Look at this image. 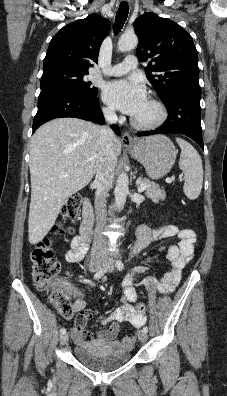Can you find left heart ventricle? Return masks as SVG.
Returning <instances> with one entry per match:
<instances>
[{
    "instance_id": "b2bd125f",
    "label": "left heart ventricle",
    "mask_w": 227,
    "mask_h": 396,
    "mask_svg": "<svg viewBox=\"0 0 227 396\" xmlns=\"http://www.w3.org/2000/svg\"><path fill=\"white\" fill-rule=\"evenodd\" d=\"M157 109L147 101L144 107L137 113L134 118L141 122H149L157 117Z\"/></svg>"
}]
</instances>
